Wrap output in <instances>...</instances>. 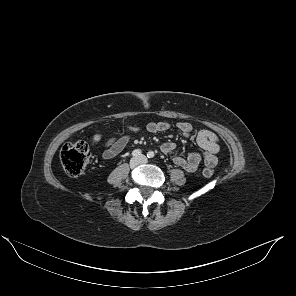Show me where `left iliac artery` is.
Wrapping results in <instances>:
<instances>
[{
  "label": "left iliac artery",
  "mask_w": 296,
  "mask_h": 296,
  "mask_svg": "<svg viewBox=\"0 0 296 296\" xmlns=\"http://www.w3.org/2000/svg\"><path fill=\"white\" fill-rule=\"evenodd\" d=\"M154 156H155V154H154L153 151H149V152L147 153V157H148V158H153Z\"/></svg>",
  "instance_id": "1"
}]
</instances>
